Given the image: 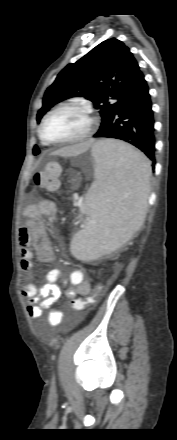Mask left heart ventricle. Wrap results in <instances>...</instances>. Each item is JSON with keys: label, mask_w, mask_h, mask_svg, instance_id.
I'll return each instance as SVG.
<instances>
[{"label": "left heart ventricle", "mask_w": 177, "mask_h": 440, "mask_svg": "<svg viewBox=\"0 0 177 440\" xmlns=\"http://www.w3.org/2000/svg\"><path fill=\"white\" fill-rule=\"evenodd\" d=\"M87 126L88 120L83 113L65 109L56 112L48 119L43 134L47 140L62 141L80 136Z\"/></svg>", "instance_id": "1"}]
</instances>
